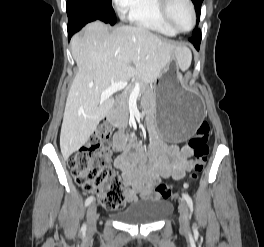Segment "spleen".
Instances as JSON below:
<instances>
[{
	"mask_svg": "<svg viewBox=\"0 0 264 247\" xmlns=\"http://www.w3.org/2000/svg\"><path fill=\"white\" fill-rule=\"evenodd\" d=\"M178 65L182 71H186L192 61V53L187 47H180L175 50Z\"/></svg>",
	"mask_w": 264,
	"mask_h": 247,
	"instance_id": "obj_1",
	"label": "spleen"
}]
</instances>
